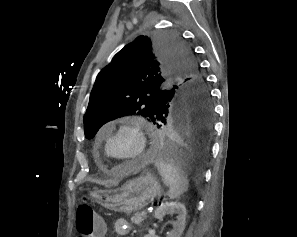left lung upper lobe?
<instances>
[{
    "instance_id": "1",
    "label": "left lung upper lobe",
    "mask_w": 297,
    "mask_h": 237,
    "mask_svg": "<svg viewBox=\"0 0 297 237\" xmlns=\"http://www.w3.org/2000/svg\"><path fill=\"white\" fill-rule=\"evenodd\" d=\"M209 101L191 50L174 33L139 36L97 75L84 115L85 137L115 118L138 114L155 125L172 105Z\"/></svg>"
}]
</instances>
